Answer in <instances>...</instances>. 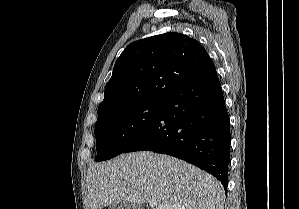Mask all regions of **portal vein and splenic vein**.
Segmentation results:
<instances>
[{
    "mask_svg": "<svg viewBox=\"0 0 299 209\" xmlns=\"http://www.w3.org/2000/svg\"><path fill=\"white\" fill-rule=\"evenodd\" d=\"M149 205L153 208V209H171L169 207H164V206H159L157 208V202L154 200L149 201Z\"/></svg>",
    "mask_w": 299,
    "mask_h": 209,
    "instance_id": "portal-vein-and-splenic-vein-1",
    "label": "portal vein and splenic vein"
}]
</instances>
